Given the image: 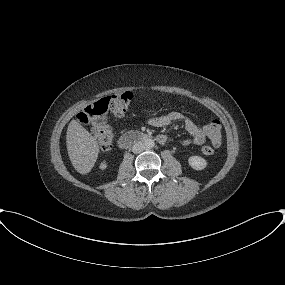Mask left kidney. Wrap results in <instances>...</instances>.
<instances>
[{"instance_id": "5707ae66", "label": "left kidney", "mask_w": 285, "mask_h": 285, "mask_svg": "<svg viewBox=\"0 0 285 285\" xmlns=\"http://www.w3.org/2000/svg\"><path fill=\"white\" fill-rule=\"evenodd\" d=\"M188 163L195 170H203L207 167L206 160L200 156H190Z\"/></svg>"}]
</instances>
